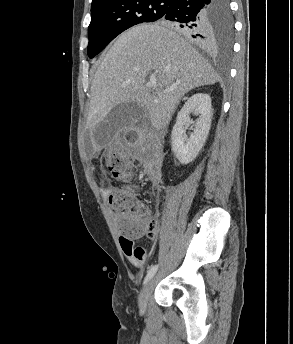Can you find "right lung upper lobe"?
Masks as SVG:
<instances>
[{
  "instance_id": "obj_1",
  "label": "right lung upper lobe",
  "mask_w": 293,
  "mask_h": 344,
  "mask_svg": "<svg viewBox=\"0 0 293 344\" xmlns=\"http://www.w3.org/2000/svg\"><path fill=\"white\" fill-rule=\"evenodd\" d=\"M113 1H116V0H93L92 1V5H91V9L100 5V4H103V3H108V2H113ZM215 45V43H213V46Z\"/></svg>"
}]
</instances>
